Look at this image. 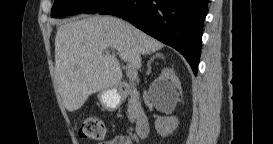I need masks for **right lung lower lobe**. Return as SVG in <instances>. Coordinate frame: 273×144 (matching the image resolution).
Returning a JSON list of instances; mask_svg holds the SVG:
<instances>
[{
  "mask_svg": "<svg viewBox=\"0 0 273 144\" xmlns=\"http://www.w3.org/2000/svg\"><path fill=\"white\" fill-rule=\"evenodd\" d=\"M209 0H110L98 13L121 17L178 50L196 75Z\"/></svg>",
  "mask_w": 273,
  "mask_h": 144,
  "instance_id": "obj_1",
  "label": "right lung lower lobe"
}]
</instances>
